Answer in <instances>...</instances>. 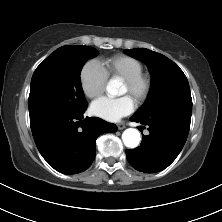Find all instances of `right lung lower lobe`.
Wrapping results in <instances>:
<instances>
[{"label": "right lung lower lobe", "instance_id": "right-lung-lower-lobe-1", "mask_svg": "<svg viewBox=\"0 0 222 222\" xmlns=\"http://www.w3.org/2000/svg\"><path fill=\"white\" fill-rule=\"evenodd\" d=\"M85 110L44 112L30 117L32 134L40 154L61 173L85 171L95 158L97 137L105 132L117 131L115 124L97 117L81 120Z\"/></svg>", "mask_w": 222, "mask_h": 222}]
</instances>
